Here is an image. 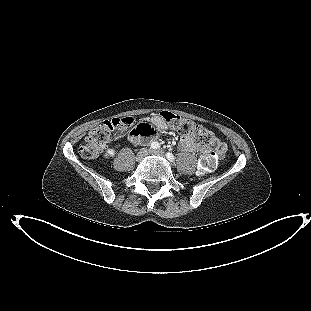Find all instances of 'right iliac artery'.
Returning <instances> with one entry per match:
<instances>
[{
    "label": "right iliac artery",
    "instance_id": "1",
    "mask_svg": "<svg viewBox=\"0 0 311 311\" xmlns=\"http://www.w3.org/2000/svg\"><path fill=\"white\" fill-rule=\"evenodd\" d=\"M150 148L153 150H156V149L160 148V144L158 142H152L150 145Z\"/></svg>",
    "mask_w": 311,
    "mask_h": 311
}]
</instances>
